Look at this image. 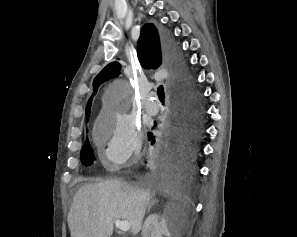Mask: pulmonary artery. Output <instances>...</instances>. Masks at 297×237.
<instances>
[{
    "label": "pulmonary artery",
    "mask_w": 297,
    "mask_h": 237,
    "mask_svg": "<svg viewBox=\"0 0 297 237\" xmlns=\"http://www.w3.org/2000/svg\"><path fill=\"white\" fill-rule=\"evenodd\" d=\"M144 108L147 113H149L151 115H155L158 113L160 106H159L158 102L153 100L152 96H149L145 101Z\"/></svg>",
    "instance_id": "pulmonary-artery-1"
}]
</instances>
